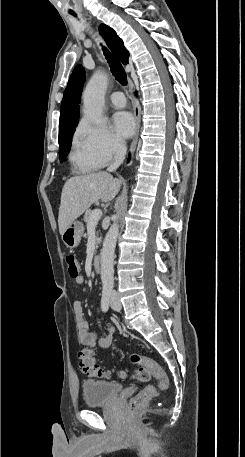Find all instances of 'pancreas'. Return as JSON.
Segmentation results:
<instances>
[{"label":"pancreas","mask_w":245,"mask_h":457,"mask_svg":"<svg viewBox=\"0 0 245 457\" xmlns=\"http://www.w3.org/2000/svg\"><path fill=\"white\" fill-rule=\"evenodd\" d=\"M93 210H90V208H88V210H86L85 214H84V218L83 220H85V222H90V216L92 214ZM96 241L98 243V241H100V239H98V237H96ZM96 249H98V245H95Z\"/></svg>","instance_id":"pancreas-1"}]
</instances>
